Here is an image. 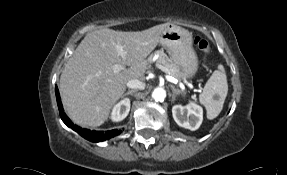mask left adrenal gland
I'll return each instance as SVG.
<instances>
[{"mask_svg": "<svg viewBox=\"0 0 287 175\" xmlns=\"http://www.w3.org/2000/svg\"><path fill=\"white\" fill-rule=\"evenodd\" d=\"M170 87L173 91L172 101H174L177 95H182V92L179 89H176L173 85H170Z\"/></svg>", "mask_w": 287, "mask_h": 175, "instance_id": "a2214340", "label": "left adrenal gland"}]
</instances>
